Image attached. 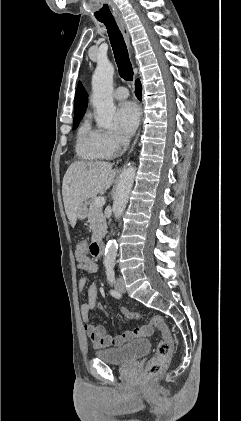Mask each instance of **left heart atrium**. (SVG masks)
Instances as JSON below:
<instances>
[{"label":"left heart atrium","mask_w":241,"mask_h":421,"mask_svg":"<svg viewBox=\"0 0 241 421\" xmlns=\"http://www.w3.org/2000/svg\"><path fill=\"white\" fill-rule=\"evenodd\" d=\"M139 110L130 101L121 103L116 111V122L120 131L127 137L131 136L139 123Z\"/></svg>","instance_id":"left-heart-atrium-1"}]
</instances>
